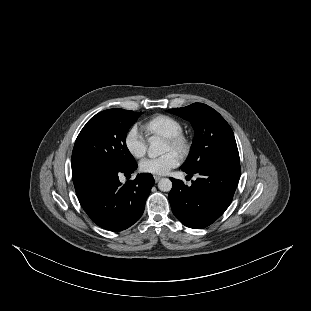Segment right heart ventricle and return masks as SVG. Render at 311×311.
<instances>
[{"label": "right heart ventricle", "mask_w": 311, "mask_h": 311, "mask_svg": "<svg viewBox=\"0 0 311 311\" xmlns=\"http://www.w3.org/2000/svg\"><path fill=\"white\" fill-rule=\"evenodd\" d=\"M143 129L148 136L168 138L184 132V124L171 115L157 114L143 123Z\"/></svg>", "instance_id": "e07e8e85"}]
</instances>
